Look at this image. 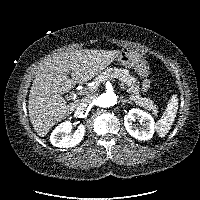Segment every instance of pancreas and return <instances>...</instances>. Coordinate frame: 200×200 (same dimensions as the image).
Wrapping results in <instances>:
<instances>
[{
    "label": "pancreas",
    "mask_w": 200,
    "mask_h": 200,
    "mask_svg": "<svg viewBox=\"0 0 200 200\" xmlns=\"http://www.w3.org/2000/svg\"><path fill=\"white\" fill-rule=\"evenodd\" d=\"M118 79L122 88H125L130 93V98L136 103V105L144 107L145 109L152 111L154 115H157V106L152 100L148 98H142L138 92V86L136 85V79L126 69L108 68L104 72L100 73L95 79L96 85L101 84L108 79Z\"/></svg>",
    "instance_id": "pancreas-1"
}]
</instances>
